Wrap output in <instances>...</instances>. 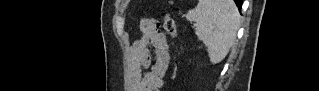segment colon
Segmentation results:
<instances>
[{
	"label": "colon",
	"mask_w": 319,
	"mask_h": 91,
	"mask_svg": "<svg viewBox=\"0 0 319 91\" xmlns=\"http://www.w3.org/2000/svg\"><path fill=\"white\" fill-rule=\"evenodd\" d=\"M164 28L167 32V34L171 37H175L176 36V32H177V28H176V21L175 19L167 14L165 16V19H164Z\"/></svg>",
	"instance_id": "colon-1"
}]
</instances>
